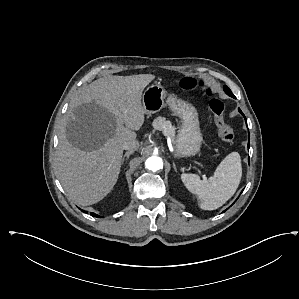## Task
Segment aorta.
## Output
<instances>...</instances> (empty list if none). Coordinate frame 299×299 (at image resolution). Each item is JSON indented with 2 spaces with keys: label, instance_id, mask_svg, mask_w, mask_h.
<instances>
[{
  "label": "aorta",
  "instance_id": "aorta-1",
  "mask_svg": "<svg viewBox=\"0 0 299 299\" xmlns=\"http://www.w3.org/2000/svg\"><path fill=\"white\" fill-rule=\"evenodd\" d=\"M145 167L153 172L159 171L163 168L162 158L159 156H151L145 162Z\"/></svg>",
  "mask_w": 299,
  "mask_h": 299
}]
</instances>
